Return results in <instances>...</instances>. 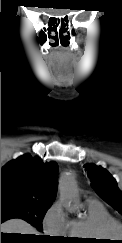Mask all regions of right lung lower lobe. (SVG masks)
<instances>
[{
  "label": "right lung lower lobe",
  "instance_id": "98d812e1",
  "mask_svg": "<svg viewBox=\"0 0 122 243\" xmlns=\"http://www.w3.org/2000/svg\"><path fill=\"white\" fill-rule=\"evenodd\" d=\"M4 221H6V220H1V223L4 222ZM46 242H47V241H46Z\"/></svg>",
  "mask_w": 122,
  "mask_h": 243
}]
</instances>
